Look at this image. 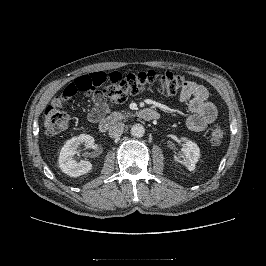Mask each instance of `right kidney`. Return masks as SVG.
I'll use <instances>...</instances> for the list:
<instances>
[{
  "instance_id": "right-kidney-1",
  "label": "right kidney",
  "mask_w": 266,
  "mask_h": 266,
  "mask_svg": "<svg viewBox=\"0 0 266 266\" xmlns=\"http://www.w3.org/2000/svg\"><path fill=\"white\" fill-rule=\"evenodd\" d=\"M85 143L88 147L94 144V138L87 134H81L67 140L62 147L59 155V166L65 174L71 177H79L88 173L92 169V164L89 161L77 162L73 156L77 153L79 145Z\"/></svg>"
}]
</instances>
